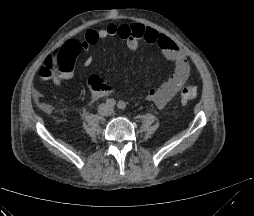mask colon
I'll return each mask as SVG.
<instances>
[{"label":"colon","mask_w":254,"mask_h":216,"mask_svg":"<svg viewBox=\"0 0 254 216\" xmlns=\"http://www.w3.org/2000/svg\"><path fill=\"white\" fill-rule=\"evenodd\" d=\"M82 50L80 43H76L73 50L59 49L55 56H49L40 68L39 74L43 78H49L54 73L71 71L73 69L72 56ZM197 94V86L193 83L181 87L179 91L180 101L185 104L192 101Z\"/></svg>","instance_id":"colon-1"}]
</instances>
